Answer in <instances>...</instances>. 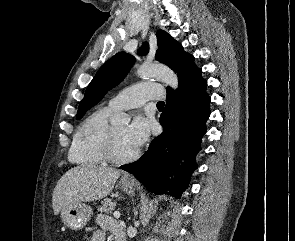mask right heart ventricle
<instances>
[{
    "mask_svg": "<svg viewBox=\"0 0 295 241\" xmlns=\"http://www.w3.org/2000/svg\"><path fill=\"white\" fill-rule=\"evenodd\" d=\"M108 107L99 108L79 126L69 150V161L79 166H98L105 163L103 145L110 128Z\"/></svg>",
    "mask_w": 295,
    "mask_h": 241,
    "instance_id": "right-heart-ventricle-1",
    "label": "right heart ventricle"
}]
</instances>
